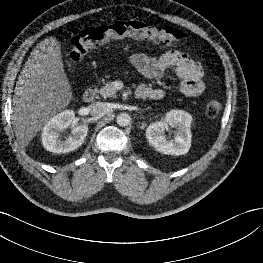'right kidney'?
<instances>
[{
  "label": "right kidney",
  "mask_w": 263,
  "mask_h": 263,
  "mask_svg": "<svg viewBox=\"0 0 263 263\" xmlns=\"http://www.w3.org/2000/svg\"><path fill=\"white\" fill-rule=\"evenodd\" d=\"M75 113L65 110L52 117L43 127L42 143L46 150L53 153H69L84 143L88 133V125L74 126ZM72 128V135L63 140L60 132Z\"/></svg>",
  "instance_id": "obj_1"
}]
</instances>
